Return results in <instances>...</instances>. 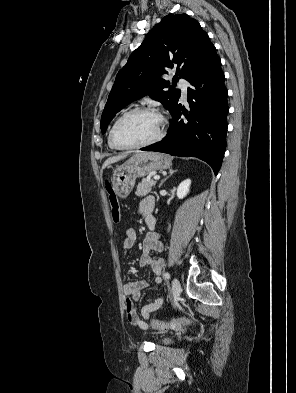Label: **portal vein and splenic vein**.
I'll return each mask as SVG.
<instances>
[{"label": "portal vein and splenic vein", "instance_id": "portal-vein-and-splenic-vein-1", "mask_svg": "<svg viewBox=\"0 0 296 393\" xmlns=\"http://www.w3.org/2000/svg\"><path fill=\"white\" fill-rule=\"evenodd\" d=\"M160 179V176L159 175H156V176H154V180H159Z\"/></svg>", "mask_w": 296, "mask_h": 393}]
</instances>
